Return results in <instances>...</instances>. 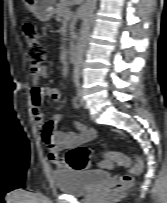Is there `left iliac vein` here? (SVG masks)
<instances>
[{
  "instance_id": "4c4485c4",
  "label": "left iliac vein",
  "mask_w": 167,
  "mask_h": 203,
  "mask_svg": "<svg viewBox=\"0 0 167 203\" xmlns=\"http://www.w3.org/2000/svg\"><path fill=\"white\" fill-rule=\"evenodd\" d=\"M78 96H79V100H80V105L84 108H87V103H86L85 99L83 98V90L81 87L78 88Z\"/></svg>"
}]
</instances>
